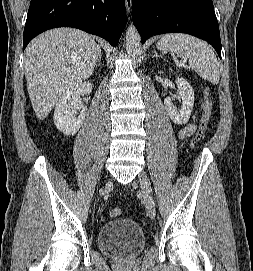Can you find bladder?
<instances>
[{"instance_id":"1","label":"bladder","mask_w":253,"mask_h":271,"mask_svg":"<svg viewBox=\"0 0 253 271\" xmlns=\"http://www.w3.org/2000/svg\"><path fill=\"white\" fill-rule=\"evenodd\" d=\"M100 251L116 259L137 257L146 246V237L141 227L129 219H116L103 224L97 234Z\"/></svg>"}]
</instances>
